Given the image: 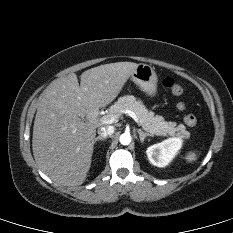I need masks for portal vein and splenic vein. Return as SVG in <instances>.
<instances>
[{"mask_svg":"<svg viewBox=\"0 0 233 233\" xmlns=\"http://www.w3.org/2000/svg\"><path fill=\"white\" fill-rule=\"evenodd\" d=\"M123 113L127 114L128 116H130L136 123H139V120H138L136 114L133 111H131V110H124ZM118 118H119V116L115 115V114L106 115V116H103L101 118V122L103 124H112V123L118 122Z\"/></svg>","mask_w":233,"mask_h":233,"instance_id":"1","label":"portal vein and splenic vein"}]
</instances>
